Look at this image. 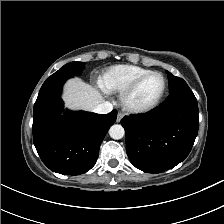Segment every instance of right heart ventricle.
I'll return each mask as SVG.
<instances>
[{
    "instance_id": "obj_1",
    "label": "right heart ventricle",
    "mask_w": 224,
    "mask_h": 224,
    "mask_svg": "<svg viewBox=\"0 0 224 224\" xmlns=\"http://www.w3.org/2000/svg\"><path fill=\"white\" fill-rule=\"evenodd\" d=\"M148 72L151 70L141 66L116 65L102 75L100 85L106 92L122 93L135 79Z\"/></svg>"
}]
</instances>
